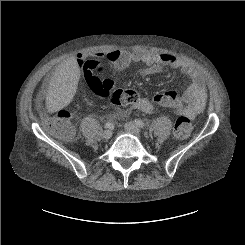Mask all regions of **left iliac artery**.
<instances>
[{
	"label": "left iliac artery",
	"instance_id": "44dca946",
	"mask_svg": "<svg viewBox=\"0 0 245 245\" xmlns=\"http://www.w3.org/2000/svg\"><path fill=\"white\" fill-rule=\"evenodd\" d=\"M134 123H135L137 126L141 127V128H143V127L145 126L144 122H143L142 120H140V119H135V120H134Z\"/></svg>",
	"mask_w": 245,
	"mask_h": 245
}]
</instances>
